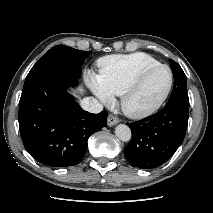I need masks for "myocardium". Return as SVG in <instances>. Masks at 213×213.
Wrapping results in <instances>:
<instances>
[{
	"label": "myocardium",
	"mask_w": 213,
	"mask_h": 213,
	"mask_svg": "<svg viewBox=\"0 0 213 213\" xmlns=\"http://www.w3.org/2000/svg\"><path fill=\"white\" fill-rule=\"evenodd\" d=\"M167 69L169 72V83L168 86L166 88V90L164 91V93L161 95V97L156 100L154 103H152L151 105L144 107V108H140V109H134L131 108L129 105V101L130 98L135 94V92L139 89V87L142 85V83L145 81V79L154 71L158 70V69ZM173 83H174V74L172 69L165 64H157L155 66L149 67L145 70H143L127 87L126 89L123 91V93L120 95L121 99H120V105L121 108L123 110V112L129 116L130 118H134V119H141L144 117H147L151 114H153L154 112H156L166 101V99L168 98L172 87H173Z\"/></svg>",
	"instance_id": "1"
}]
</instances>
